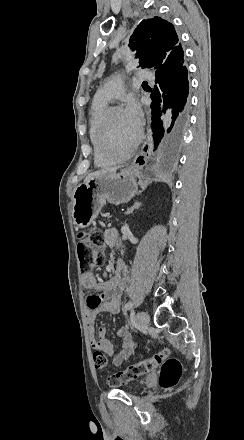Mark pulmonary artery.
Segmentation results:
<instances>
[{"label": "pulmonary artery", "instance_id": "pulmonary-artery-1", "mask_svg": "<svg viewBox=\"0 0 244 440\" xmlns=\"http://www.w3.org/2000/svg\"><path fill=\"white\" fill-rule=\"evenodd\" d=\"M140 76H146V71H140ZM104 90H96L94 94L95 102H108L111 99H119L120 91L123 88L121 82H105L103 85Z\"/></svg>", "mask_w": 244, "mask_h": 440}]
</instances>
